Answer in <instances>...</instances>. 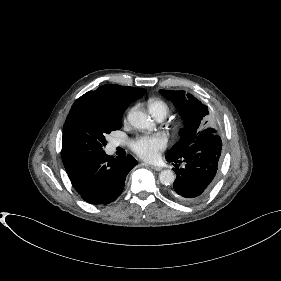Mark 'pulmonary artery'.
Returning a JSON list of instances; mask_svg holds the SVG:
<instances>
[{
	"mask_svg": "<svg viewBox=\"0 0 281 281\" xmlns=\"http://www.w3.org/2000/svg\"><path fill=\"white\" fill-rule=\"evenodd\" d=\"M158 120H163V119H158ZM118 144H119L118 142L115 143V145H118Z\"/></svg>",
	"mask_w": 281,
	"mask_h": 281,
	"instance_id": "1",
	"label": "pulmonary artery"
}]
</instances>
